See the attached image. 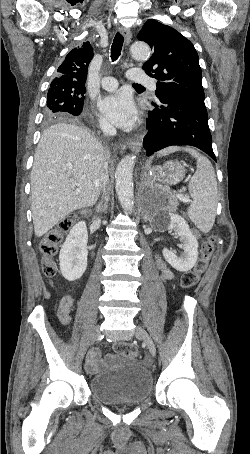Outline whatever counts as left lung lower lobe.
<instances>
[{"instance_id": "1", "label": "left lung lower lobe", "mask_w": 250, "mask_h": 454, "mask_svg": "<svg viewBox=\"0 0 250 454\" xmlns=\"http://www.w3.org/2000/svg\"><path fill=\"white\" fill-rule=\"evenodd\" d=\"M147 119L148 134L143 141L150 156L173 145H191L216 161L204 97L174 96L160 98Z\"/></svg>"}]
</instances>
